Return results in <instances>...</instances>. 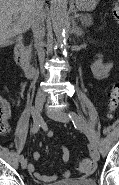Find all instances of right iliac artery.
Listing matches in <instances>:
<instances>
[{
    "instance_id": "right-iliac-artery-1",
    "label": "right iliac artery",
    "mask_w": 119,
    "mask_h": 185,
    "mask_svg": "<svg viewBox=\"0 0 119 185\" xmlns=\"http://www.w3.org/2000/svg\"><path fill=\"white\" fill-rule=\"evenodd\" d=\"M39 116H40V113H34V108H33L32 113L30 115V118H33V121H34V125H33V128H32V134L37 133L40 126H41V125H35V124H41ZM23 159H24V156L20 155L19 160L22 161Z\"/></svg>"
}]
</instances>
